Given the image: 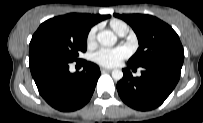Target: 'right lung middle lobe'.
Returning <instances> with one entry per match:
<instances>
[{
	"instance_id": "obj_1",
	"label": "right lung middle lobe",
	"mask_w": 203,
	"mask_h": 123,
	"mask_svg": "<svg viewBox=\"0 0 203 123\" xmlns=\"http://www.w3.org/2000/svg\"><path fill=\"white\" fill-rule=\"evenodd\" d=\"M90 28L78 18L64 15L42 23L34 33L29 47V57L55 56L73 62L87 49Z\"/></svg>"
}]
</instances>
